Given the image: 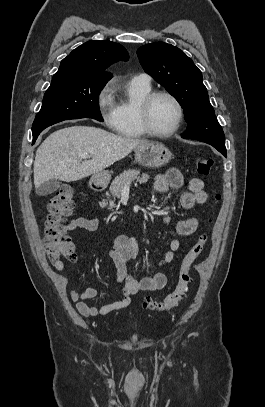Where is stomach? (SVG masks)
Here are the masks:
<instances>
[{"mask_svg": "<svg viewBox=\"0 0 265 407\" xmlns=\"http://www.w3.org/2000/svg\"><path fill=\"white\" fill-rule=\"evenodd\" d=\"M172 158V153L161 143L148 142L135 149V160L149 168L166 165ZM111 179L108 171H100L92 175L90 182L98 187H105Z\"/></svg>", "mask_w": 265, "mask_h": 407, "instance_id": "obj_1", "label": "stomach"}]
</instances>
